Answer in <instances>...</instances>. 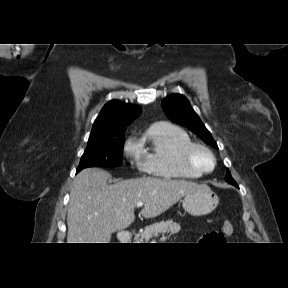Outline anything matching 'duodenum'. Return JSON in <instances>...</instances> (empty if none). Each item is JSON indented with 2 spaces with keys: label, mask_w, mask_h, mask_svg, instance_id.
I'll return each mask as SVG.
<instances>
[{
  "label": "duodenum",
  "mask_w": 288,
  "mask_h": 288,
  "mask_svg": "<svg viewBox=\"0 0 288 288\" xmlns=\"http://www.w3.org/2000/svg\"><path fill=\"white\" fill-rule=\"evenodd\" d=\"M132 240V235L128 232H121L119 234V241L121 243H130Z\"/></svg>",
  "instance_id": "duodenum-1"
}]
</instances>
